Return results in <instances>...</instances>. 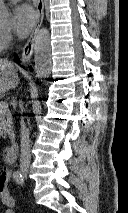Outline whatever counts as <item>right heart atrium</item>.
Wrapping results in <instances>:
<instances>
[{
    "mask_svg": "<svg viewBox=\"0 0 128 213\" xmlns=\"http://www.w3.org/2000/svg\"><path fill=\"white\" fill-rule=\"evenodd\" d=\"M13 43V37L9 32L0 31V52L7 50Z\"/></svg>",
    "mask_w": 128,
    "mask_h": 213,
    "instance_id": "obj_1",
    "label": "right heart atrium"
}]
</instances>
